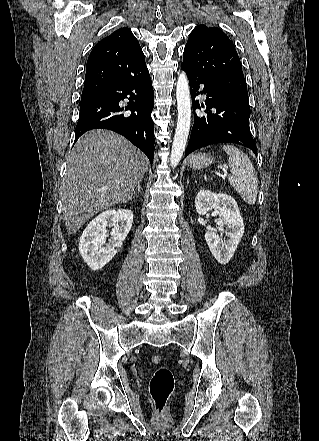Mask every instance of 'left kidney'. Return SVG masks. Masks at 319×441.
I'll return each instance as SVG.
<instances>
[{"instance_id":"left-kidney-1","label":"left kidney","mask_w":319,"mask_h":441,"mask_svg":"<svg viewBox=\"0 0 319 441\" xmlns=\"http://www.w3.org/2000/svg\"><path fill=\"white\" fill-rule=\"evenodd\" d=\"M195 205L199 215H205L213 209L218 211V224L221 227L226 226L225 230H221L227 236V240L223 241L212 230L205 233V240L215 259L220 264H227L244 234V223L237 202L230 195L202 190L196 196Z\"/></svg>"}]
</instances>
